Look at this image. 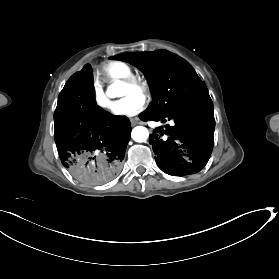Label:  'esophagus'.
<instances>
[{"instance_id":"obj_1","label":"esophagus","mask_w":279,"mask_h":279,"mask_svg":"<svg viewBox=\"0 0 279 279\" xmlns=\"http://www.w3.org/2000/svg\"><path fill=\"white\" fill-rule=\"evenodd\" d=\"M130 121H131L132 125H136V124L140 123L138 118H130Z\"/></svg>"}]
</instances>
